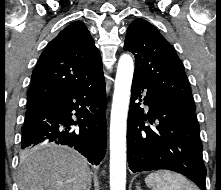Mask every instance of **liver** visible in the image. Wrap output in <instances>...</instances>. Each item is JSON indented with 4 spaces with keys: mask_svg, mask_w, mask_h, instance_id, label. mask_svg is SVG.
Listing matches in <instances>:
<instances>
[{
    "mask_svg": "<svg viewBox=\"0 0 221 190\" xmlns=\"http://www.w3.org/2000/svg\"><path fill=\"white\" fill-rule=\"evenodd\" d=\"M48 147L20 156L19 190H87L92 181L87 160L72 149Z\"/></svg>",
    "mask_w": 221,
    "mask_h": 190,
    "instance_id": "obj_1",
    "label": "liver"
}]
</instances>
